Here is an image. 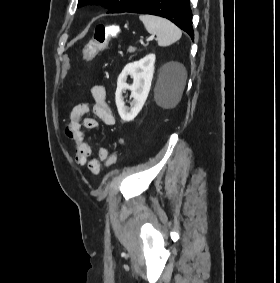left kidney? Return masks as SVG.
I'll use <instances>...</instances> for the list:
<instances>
[{"instance_id": "left-kidney-1", "label": "left kidney", "mask_w": 280, "mask_h": 283, "mask_svg": "<svg viewBox=\"0 0 280 283\" xmlns=\"http://www.w3.org/2000/svg\"><path fill=\"white\" fill-rule=\"evenodd\" d=\"M155 54H149L139 61L127 64L122 70L117 80V89L115 101L118 113L125 122L132 121L141 111L151 88V82L154 74ZM133 78V84L126 83L127 77ZM126 90L131 91L133 98L131 107L124 104L123 93Z\"/></svg>"}]
</instances>
